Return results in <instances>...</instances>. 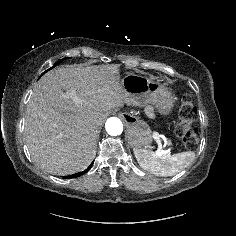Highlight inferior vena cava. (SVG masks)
<instances>
[{
	"label": "inferior vena cava",
	"instance_id": "1",
	"mask_svg": "<svg viewBox=\"0 0 236 236\" xmlns=\"http://www.w3.org/2000/svg\"><path fill=\"white\" fill-rule=\"evenodd\" d=\"M99 126H100V124H99V122H97V121H95V122L92 123V128H94V129H98Z\"/></svg>",
	"mask_w": 236,
	"mask_h": 236
}]
</instances>
